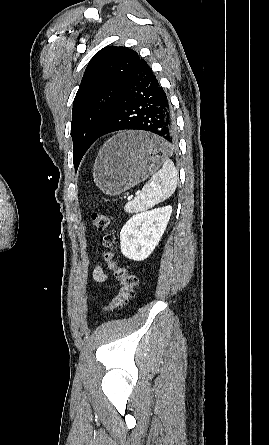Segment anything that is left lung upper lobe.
Listing matches in <instances>:
<instances>
[{
    "instance_id": "left-lung-upper-lobe-1",
    "label": "left lung upper lobe",
    "mask_w": 269,
    "mask_h": 445,
    "mask_svg": "<svg viewBox=\"0 0 269 445\" xmlns=\"http://www.w3.org/2000/svg\"><path fill=\"white\" fill-rule=\"evenodd\" d=\"M140 60L137 52L121 46L104 47L90 60L72 109L75 170L110 119Z\"/></svg>"
}]
</instances>
